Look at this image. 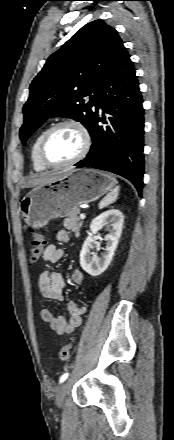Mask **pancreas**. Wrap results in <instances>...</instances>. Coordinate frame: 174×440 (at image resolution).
<instances>
[{"label": "pancreas", "instance_id": "cf45deb5", "mask_svg": "<svg viewBox=\"0 0 174 440\" xmlns=\"http://www.w3.org/2000/svg\"><path fill=\"white\" fill-rule=\"evenodd\" d=\"M79 210H76L73 214L64 219L63 226L70 232H73L76 237L80 235V228L82 227V221L79 218Z\"/></svg>", "mask_w": 174, "mask_h": 440}]
</instances>
